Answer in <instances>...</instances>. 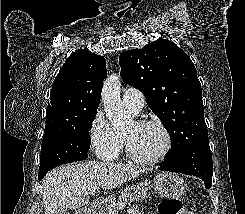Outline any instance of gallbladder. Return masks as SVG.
Here are the masks:
<instances>
[{
	"label": "gallbladder",
	"mask_w": 245,
	"mask_h": 214,
	"mask_svg": "<svg viewBox=\"0 0 245 214\" xmlns=\"http://www.w3.org/2000/svg\"><path fill=\"white\" fill-rule=\"evenodd\" d=\"M58 214H70L68 210L60 211Z\"/></svg>",
	"instance_id": "obj_1"
}]
</instances>
